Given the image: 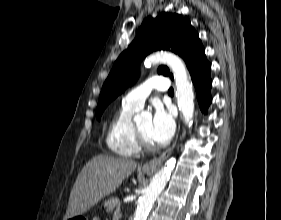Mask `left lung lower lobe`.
<instances>
[{"mask_svg":"<svg viewBox=\"0 0 281 220\" xmlns=\"http://www.w3.org/2000/svg\"><path fill=\"white\" fill-rule=\"evenodd\" d=\"M187 68L191 74L193 84L196 89L197 99L201 110L206 113L212 101L210 91L212 80L210 79L211 64L207 61L205 54L193 58Z\"/></svg>","mask_w":281,"mask_h":220,"instance_id":"1","label":"left lung lower lobe"}]
</instances>
